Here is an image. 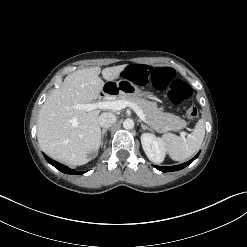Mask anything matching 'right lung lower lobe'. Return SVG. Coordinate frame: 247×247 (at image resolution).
Masks as SVG:
<instances>
[{"label": "right lung lower lobe", "mask_w": 247, "mask_h": 247, "mask_svg": "<svg viewBox=\"0 0 247 247\" xmlns=\"http://www.w3.org/2000/svg\"><path fill=\"white\" fill-rule=\"evenodd\" d=\"M45 159L48 161V163H50L51 165H53L55 168H57L59 171L66 173V174H83L85 172H78L75 171L73 169L68 168L67 166L60 164L54 160H52L51 158H49L48 156H46L45 154H43Z\"/></svg>", "instance_id": "right-lung-lower-lobe-1"}]
</instances>
